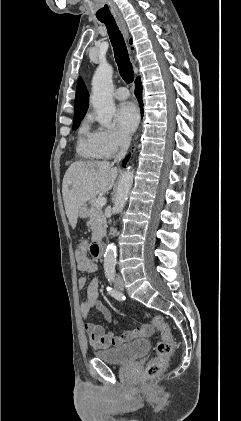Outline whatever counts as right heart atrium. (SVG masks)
<instances>
[{"label": "right heart atrium", "mask_w": 241, "mask_h": 421, "mask_svg": "<svg viewBox=\"0 0 241 421\" xmlns=\"http://www.w3.org/2000/svg\"><path fill=\"white\" fill-rule=\"evenodd\" d=\"M96 144L104 158H110L128 144L127 137L120 131L98 128L94 131Z\"/></svg>", "instance_id": "d8ad5b80"}]
</instances>
